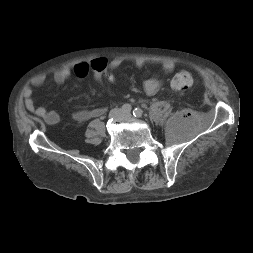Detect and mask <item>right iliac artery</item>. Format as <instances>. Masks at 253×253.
Wrapping results in <instances>:
<instances>
[{
    "label": "right iliac artery",
    "mask_w": 253,
    "mask_h": 253,
    "mask_svg": "<svg viewBox=\"0 0 253 253\" xmlns=\"http://www.w3.org/2000/svg\"><path fill=\"white\" fill-rule=\"evenodd\" d=\"M122 110H123L124 113H130L131 110H132V107H131L130 104H124V105L122 106Z\"/></svg>",
    "instance_id": "1"
}]
</instances>
